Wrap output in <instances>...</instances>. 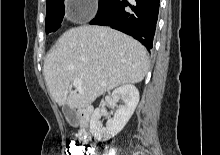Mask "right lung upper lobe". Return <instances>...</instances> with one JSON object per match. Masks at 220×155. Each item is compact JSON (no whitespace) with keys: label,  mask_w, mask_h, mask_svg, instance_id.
Returning <instances> with one entry per match:
<instances>
[{"label":"right lung upper lobe","mask_w":220,"mask_h":155,"mask_svg":"<svg viewBox=\"0 0 220 155\" xmlns=\"http://www.w3.org/2000/svg\"><path fill=\"white\" fill-rule=\"evenodd\" d=\"M52 1H54V0H47V3H50V2H52Z\"/></svg>","instance_id":"cb5924a9"}]
</instances>
